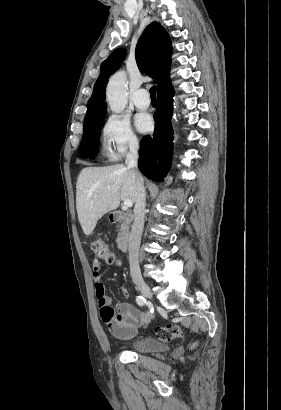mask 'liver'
Instances as JSON below:
<instances>
[{"mask_svg":"<svg viewBox=\"0 0 281 410\" xmlns=\"http://www.w3.org/2000/svg\"><path fill=\"white\" fill-rule=\"evenodd\" d=\"M136 198V175L127 166L117 164L82 169L76 183V209L84 234L90 235L97 221L115 210L120 201L136 202Z\"/></svg>","mask_w":281,"mask_h":410,"instance_id":"6515ba94","label":"liver"}]
</instances>
